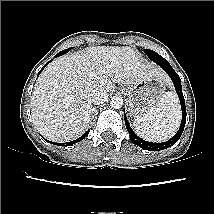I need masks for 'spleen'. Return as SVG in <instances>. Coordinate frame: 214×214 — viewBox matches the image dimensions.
Returning <instances> with one entry per match:
<instances>
[{"label": "spleen", "instance_id": "spleen-1", "mask_svg": "<svg viewBox=\"0 0 214 214\" xmlns=\"http://www.w3.org/2000/svg\"><path fill=\"white\" fill-rule=\"evenodd\" d=\"M181 120L179 100L174 92L163 94L156 106L134 118L137 135L151 142L166 141L178 130Z\"/></svg>", "mask_w": 214, "mask_h": 214}]
</instances>
